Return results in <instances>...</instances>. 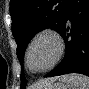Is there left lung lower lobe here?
Returning a JSON list of instances; mask_svg holds the SVG:
<instances>
[{
	"instance_id": "0a47b994",
	"label": "left lung lower lobe",
	"mask_w": 89,
	"mask_h": 89,
	"mask_svg": "<svg viewBox=\"0 0 89 89\" xmlns=\"http://www.w3.org/2000/svg\"><path fill=\"white\" fill-rule=\"evenodd\" d=\"M59 33L67 51L61 63L45 77L68 73L89 76V0H70Z\"/></svg>"
}]
</instances>
